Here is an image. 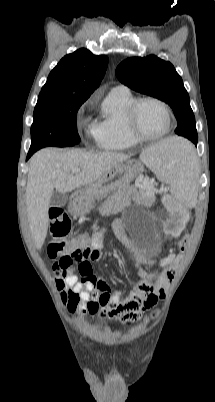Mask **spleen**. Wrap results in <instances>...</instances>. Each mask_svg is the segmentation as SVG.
<instances>
[{"label": "spleen", "instance_id": "spleen-1", "mask_svg": "<svg viewBox=\"0 0 215 402\" xmlns=\"http://www.w3.org/2000/svg\"><path fill=\"white\" fill-rule=\"evenodd\" d=\"M140 160L170 186L172 193H182L178 203L188 210L199 191V169L195 165L191 143L180 137L167 138L140 155Z\"/></svg>", "mask_w": 215, "mask_h": 402}]
</instances>
